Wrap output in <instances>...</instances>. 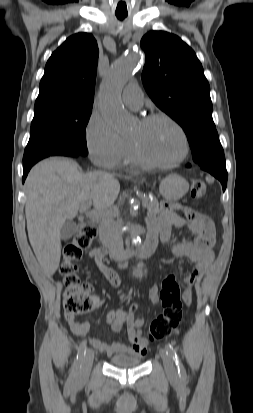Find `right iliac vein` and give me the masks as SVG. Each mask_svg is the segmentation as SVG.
<instances>
[{
    "label": "right iliac vein",
    "mask_w": 253,
    "mask_h": 413,
    "mask_svg": "<svg viewBox=\"0 0 253 413\" xmlns=\"http://www.w3.org/2000/svg\"><path fill=\"white\" fill-rule=\"evenodd\" d=\"M94 360V352L93 350L89 349L84 357V360L82 362V366L80 368V371L77 375V381L83 382L88 379L92 364Z\"/></svg>",
    "instance_id": "right-iliac-vein-1"
}]
</instances>
